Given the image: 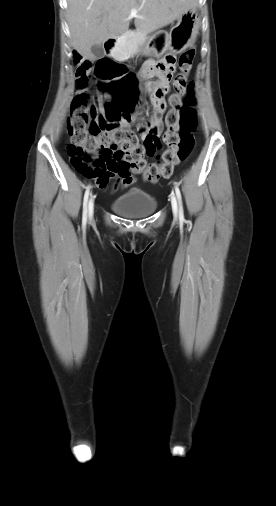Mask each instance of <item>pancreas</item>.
<instances>
[{"label": "pancreas", "instance_id": "cf45deb5", "mask_svg": "<svg viewBox=\"0 0 276 506\" xmlns=\"http://www.w3.org/2000/svg\"><path fill=\"white\" fill-rule=\"evenodd\" d=\"M146 39V31H127L120 37L111 55L116 59H125L131 51L139 49Z\"/></svg>", "mask_w": 276, "mask_h": 506}]
</instances>
